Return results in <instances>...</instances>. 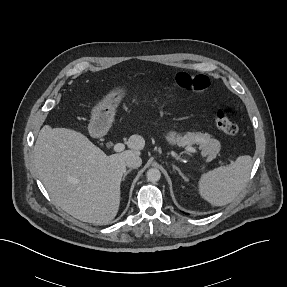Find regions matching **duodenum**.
<instances>
[{
  "mask_svg": "<svg viewBox=\"0 0 287 287\" xmlns=\"http://www.w3.org/2000/svg\"><path fill=\"white\" fill-rule=\"evenodd\" d=\"M92 130L94 133H97L99 135H104L107 131V127L104 124H94L92 127Z\"/></svg>",
  "mask_w": 287,
  "mask_h": 287,
  "instance_id": "duodenum-1",
  "label": "duodenum"
}]
</instances>
